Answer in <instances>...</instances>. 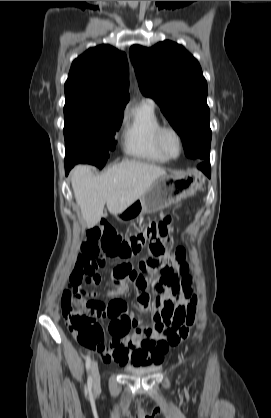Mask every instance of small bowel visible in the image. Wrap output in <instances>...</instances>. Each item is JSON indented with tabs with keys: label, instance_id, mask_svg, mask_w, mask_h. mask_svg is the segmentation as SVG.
<instances>
[{
	"label": "small bowel",
	"instance_id": "1",
	"mask_svg": "<svg viewBox=\"0 0 271 418\" xmlns=\"http://www.w3.org/2000/svg\"><path fill=\"white\" fill-rule=\"evenodd\" d=\"M147 257L150 258L142 259L138 269L133 271L128 262H117L113 267L112 290L109 295L105 299H82L80 302L83 309L89 311L90 308L91 314H98V323H104L107 337L112 339L108 346L96 351L105 363H131L136 367L160 365L169 349L158 347L163 341V335L159 332L164 325L162 312L166 308H185L188 304L191 295L190 279L185 277L181 282L176 279L178 262L167 253L166 245L161 241L151 242L147 247ZM100 268H96L95 284L100 281L97 273ZM155 273L159 275L157 295L151 302L147 282L148 277ZM129 283L136 288L140 311H154L152 327H140V319H132L133 307L126 297Z\"/></svg>",
	"mask_w": 271,
	"mask_h": 418
}]
</instances>
